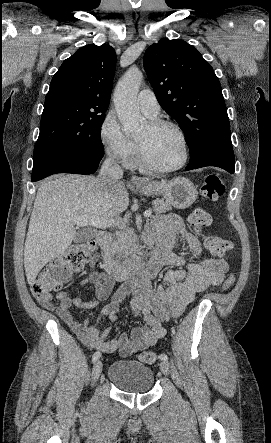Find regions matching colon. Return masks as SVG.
Listing matches in <instances>:
<instances>
[{
  "label": "colon",
  "instance_id": "5ec220e1",
  "mask_svg": "<svg viewBox=\"0 0 271 443\" xmlns=\"http://www.w3.org/2000/svg\"><path fill=\"white\" fill-rule=\"evenodd\" d=\"M225 187L221 179L215 175L207 176L201 184V195L206 200L215 201L223 195ZM192 227L201 232L212 225L211 215L203 208L195 209L189 217ZM204 243L209 253L214 258L226 257L233 248V244L216 235L204 237ZM95 244L85 242L68 249L63 255L51 261L38 274L31 284V292L37 299L45 298L52 292L58 291L66 284L72 274L81 270L94 256ZM235 282L232 275L227 277L222 284V290L230 289ZM139 360L146 364L156 362L157 356L151 351H143L138 356Z\"/></svg>",
  "mask_w": 271,
  "mask_h": 443
}]
</instances>
